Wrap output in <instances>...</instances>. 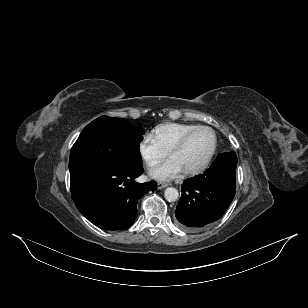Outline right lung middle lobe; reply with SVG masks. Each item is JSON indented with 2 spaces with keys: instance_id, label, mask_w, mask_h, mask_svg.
<instances>
[{
  "instance_id": "1",
  "label": "right lung middle lobe",
  "mask_w": 308,
  "mask_h": 308,
  "mask_svg": "<svg viewBox=\"0 0 308 308\" xmlns=\"http://www.w3.org/2000/svg\"><path fill=\"white\" fill-rule=\"evenodd\" d=\"M143 134V128L133 126L125 119L101 116L79 135L70 152L69 169L142 166L139 143Z\"/></svg>"
}]
</instances>
